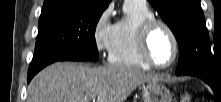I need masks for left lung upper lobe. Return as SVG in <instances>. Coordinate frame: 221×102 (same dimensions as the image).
Returning <instances> with one entry per match:
<instances>
[{"mask_svg":"<svg viewBox=\"0 0 221 102\" xmlns=\"http://www.w3.org/2000/svg\"><path fill=\"white\" fill-rule=\"evenodd\" d=\"M174 33L179 44L176 75H216L200 0H149Z\"/></svg>","mask_w":221,"mask_h":102,"instance_id":"obj_1","label":"left lung upper lobe"}]
</instances>
